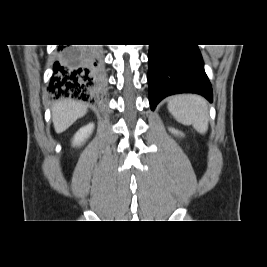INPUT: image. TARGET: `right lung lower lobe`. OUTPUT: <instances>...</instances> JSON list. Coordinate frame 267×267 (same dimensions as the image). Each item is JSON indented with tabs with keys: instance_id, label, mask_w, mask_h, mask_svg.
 I'll return each instance as SVG.
<instances>
[{
	"instance_id": "98d812e1",
	"label": "right lung lower lobe",
	"mask_w": 267,
	"mask_h": 267,
	"mask_svg": "<svg viewBox=\"0 0 267 267\" xmlns=\"http://www.w3.org/2000/svg\"><path fill=\"white\" fill-rule=\"evenodd\" d=\"M102 53L97 47H59L58 60L48 91L51 95L92 101L100 95L104 85Z\"/></svg>"
}]
</instances>
